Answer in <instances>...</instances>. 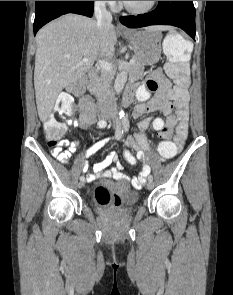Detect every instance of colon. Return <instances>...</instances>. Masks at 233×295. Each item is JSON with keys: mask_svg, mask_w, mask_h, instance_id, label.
Returning <instances> with one entry per match:
<instances>
[{"mask_svg": "<svg viewBox=\"0 0 233 295\" xmlns=\"http://www.w3.org/2000/svg\"><path fill=\"white\" fill-rule=\"evenodd\" d=\"M163 50L167 58L165 71L174 80L173 92L177 95L187 92L190 85L189 60L192 53L190 40L179 32L171 31L164 39ZM85 86L86 79L79 78L69 85L67 93L58 96L52 114L44 123L45 135L50 146H58L67 130V125L61 118L71 116L74 112L71 94H81ZM170 135L171 130L168 127L159 133L164 141L159 144L158 150L165 159L173 157L178 151L176 145L168 140ZM123 158L130 166L137 164L136 156L129 150L123 152ZM95 197L103 206L110 204L112 200L110 193L103 186L96 188Z\"/></svg>", "mask_w": 233, "mask_h": 295, "instance_id": "obj_1", "label": "colon"}]
</instances>
